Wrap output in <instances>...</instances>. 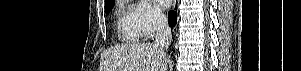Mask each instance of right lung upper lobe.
<instances>
[{
    "label": "right lung upper lobe",
    "instance_id": "right-lung-upper-lobe-1",
    "mask_svg": "<svg viewBox=\"0 0 301 71\" xmlns=\"http://www.w3.org/2000/svg\"><path fill=\"white\" fill-rule=\"evenodd\" d=\"M112 1H114V0H105V4H108V3L112 2Z\"/></svg>",
    "mask_w": 301,
    "mask_h": 71
}]
</instances>
